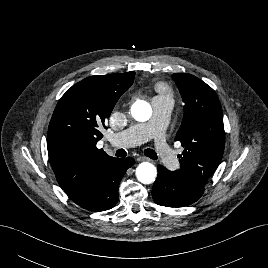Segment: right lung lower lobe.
Instances as JSON below:
<instances>
[{"label": "right lung lower lobe", "instance_id": "right-lung-lower-lobe-1", "mask_svg": "<svg viewBox=\"0 0 268 268\" xmlns=\"http://www.w3.org/2000/svg\"><path fill=\"white\" fill-rule=\"evenodd\" d=\"M135 163L132 157L116 158L96 176L87 195L75 202L90 211H105L118 201V186L126 170Z\"/></svg>", "mask_w": 268, "mask_h": 268}]
</instances>
